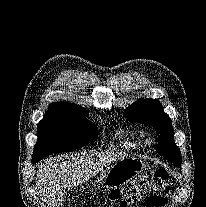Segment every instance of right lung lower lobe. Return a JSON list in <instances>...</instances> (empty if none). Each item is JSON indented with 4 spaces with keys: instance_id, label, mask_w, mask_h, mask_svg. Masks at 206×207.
<instances>
[{
    "instance_id": "right-lung-lower-lobe-1",
    "label": "right lung lower lobe",
    "mask_w": 206,
    "mask_h": 207,
    "mask_svg": "<svg viewBox=\"0 0 206 207\" xmlns=\"http://www.w3.org/2000/svg\"><path fill=\"white\" fill-rule=\"evenodd\" d=\"M41 159H42V158H33V159H32V163L34 164V163L40 161Z\"/></svg>"
}]
</instances>
